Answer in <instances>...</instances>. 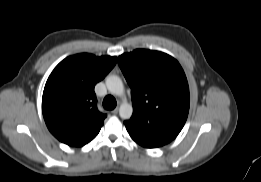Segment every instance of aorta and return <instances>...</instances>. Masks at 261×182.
I'll use <instances>...</instances> for the list:
<instances>
[{
    "instance_id": "obj_1",
    "label": "aorta",
    "mask_w": 261,
    "mask_h": 182,
    "mask_svg": "<svg viewBox=\"0 0 261 182\" xmlns=\"http://www.w3.org/2000/svg\"><path fill=\"white\" fill-rule=\"evenodd\" d=\"M106 86L109 92L113 95L122 97L124 95V85L120 77L110 75L106 78ZM133 114L131 104L124 101L119 107V115L122 119H129Z\"/></svg>"
}]
</instances>
